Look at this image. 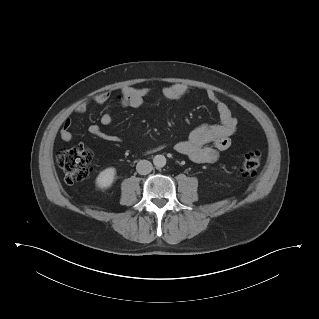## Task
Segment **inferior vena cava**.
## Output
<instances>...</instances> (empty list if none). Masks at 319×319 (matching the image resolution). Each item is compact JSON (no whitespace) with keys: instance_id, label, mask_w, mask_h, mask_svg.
I'll return each mask as SVG.
<instances>
[{"instance_id":"602c4592","label":"inferior vena cava","mask_w":319,"mask_h":319,"mask_svg":"<svg viewBox=\"0 0 319 319\" xmlns=\"http://www.w3.org/2000/svg\"><path fill=\"white\" fill-rule=\"evenodd\" d=\"M152 169V163L148 160H140L136 165V170L141 175H146L150 173Z\"/></svg>"}]
</instances>
